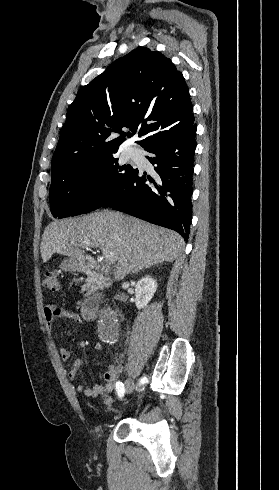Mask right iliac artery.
<instances>
[{
    "label": "right iliac artery",
    "mask_w": 279,
    "mask_h": 490,
    "mask_svg": "<svg viewBox=\"0 0 279 490\" xmlns=\"http://www.w3.org/2000/svg\"><path fill=\"white\" fill-rule=\"evenodd\" d=\"M116 392H117V394H118L119 397H123L124 396V393H125L124 384L122 382H120V381H118L116 383Z\"/></svg>",
    "instance_id": "82829eb1"
}]
</instances>
